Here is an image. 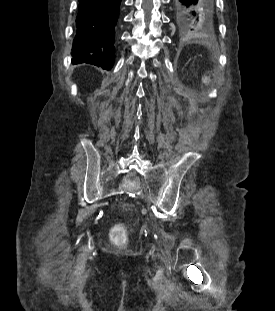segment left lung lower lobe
<instances>
[{
    "mask_svg": "<svg viewBox=\"0 0 275 311\" xmlns=\"http://www.w3.org/2000/svg\"><path fill=\"white\" fill-rule=\"evenodd\" d=\"M213 0H175L176 24L181 35H193L213 29Z\"/></svg>",
    "mask_w": 275,
    "mask_h": 311,
    "instance_id": "0a47b994",
    "label": "left lung lower lobe"
}]
</instances>
